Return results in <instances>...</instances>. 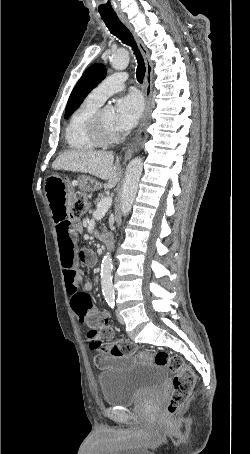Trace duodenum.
Masks as SVG:
<instances>
[{"instance_id": "410a0bca", "label": "duodenum", "mask_w": 250, "mask_h": 454, "mask_svg": "<svg viewBox=\"0 0 250 454\" xmlns=\"http://www.w3.org/2000/svg\"><path fill=\"white\" fill-rule=\"evenodd\" d=\"M102 242L106 247H109L113 244V235L110 232H104L102 234Z\"/></svg>"}]
</instances>
